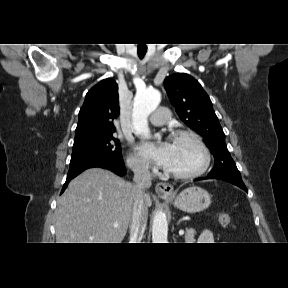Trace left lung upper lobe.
I'll return each instance as SVG.
<instances>
[{"instance_id":"left-lung-upper-lobe-1","label":"left lung upper lobe","mask_w":288,"mask_h":288,"mask_svg":"<svg viewBox=\"0 0 288 288\" xmlns=\"http://www.w3.org/2000/svg\"><path fill=\"white\" fill-rule=\"evenodd\" d=\"M164 86L180 119L204 137L206 146L214 155L215 166L209 176L242 181L211 100L200 83L186 73H176L164 80Z\"/></svg>"}]
</instances>
